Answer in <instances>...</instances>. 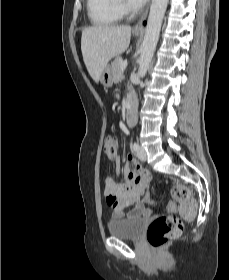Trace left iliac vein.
<instances>
[{
  "instance_id": "left-iliac-vein-1",
  "label": "left iliac vein",
  "mask_w": 229,
  "mask_h": 280,
  "mask_svg": "<svg viewBox=\"0 0 229 280\" xmlns=\"http://www.w3.org/2000/svg\"><path fill=\"white\" fill-rule=\"evenodd\" d=\"M137 156L141 161H146L147 160V154L146 151L143 147H139L138 151H137Z\"/></svg>"
}]
</instances>
